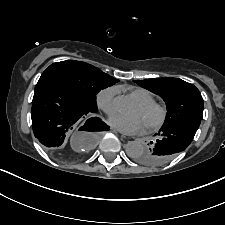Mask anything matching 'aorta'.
I'll return each mask as SVG.
<instances>
[{
    "mask_svg": "<svg viewBox=\"0 0 225 225\" xmlns=\"http://www.w3.org/2000/svg\"><path fill=\"white\" fill-rule=\"evenodd\" d=\"M116 105L119 109H125L128 106V99L120 96L116 99ZM125 150L129 157L136 158L145 151V147L139 141H130L126 144Z\"/></svg>",
    "mask_w": 225,
    "mask_h": 225,
    "instance_id": "1",
    "label": "aorta"
}]
</instances>
